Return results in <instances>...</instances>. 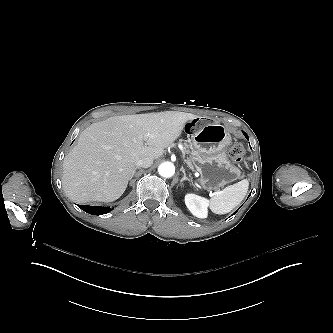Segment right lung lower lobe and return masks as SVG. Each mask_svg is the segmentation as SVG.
Masks as SVG:
<instances>
[{"mask_svg":"<svg viewBox=\"0 0 333 333\" xmlns=\"http://www.w3.org/2000/svg\"><path fill=\"white\" fill-rule=\"evenodd\" d=\"M83 211L93 214V215H102L110 212L112 209L109 207H100V206H88V205H80L79 206Z\"/></svg>","mask_w":333,"mask_h":333,"instance_id":"right-lung-lower-lobe-1","label":"right lung lower lobe"}]
</instances>
